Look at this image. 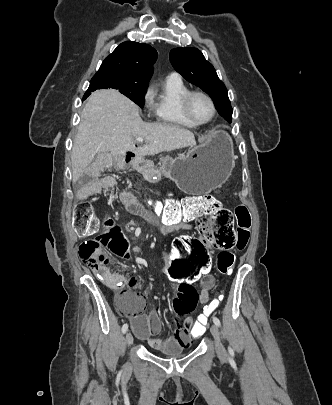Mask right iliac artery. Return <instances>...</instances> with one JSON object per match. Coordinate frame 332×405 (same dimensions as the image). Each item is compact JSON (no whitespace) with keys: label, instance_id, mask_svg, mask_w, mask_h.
<instances>
[{"label":"right iliac artery","instance_id":"82829eb1","mask_svg":"<svg viewBox=\"0 0 332 405\" xmlns=\"http://www.w3.org/2000/svg\"><path fill=\"white\" fill-rule=\"evenodd\" d=\"M127 330H128V324L126 323V324H124V325L122 326V333H126Z\"/></svg>","mask_w":332,"mask_h":405}]
</instances>
